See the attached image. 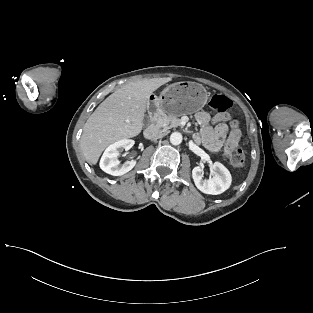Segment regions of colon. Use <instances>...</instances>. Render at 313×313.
Returning <instances> with one entry per match:
<instances>
[{"label":"colon","mask_w":313,"mask_h":313,"mask_svg":"<svg viewBox=\"0 0 313 313\" xmlns=\"http://www.w3.org/2000/svg\"><path fill=\"white\" fill-rule=\"evenodd\" d=\"M209 106L217 112L224 113L232 106V101L221 94H215L211 97L209 101ZM230 141L225 149V154L228 157L230 163L235 168H243L245 165V155L243 151Z\"/></svg>","instance_id":"5ec220e1"}]
</instances>
